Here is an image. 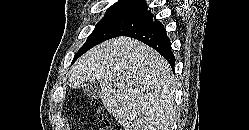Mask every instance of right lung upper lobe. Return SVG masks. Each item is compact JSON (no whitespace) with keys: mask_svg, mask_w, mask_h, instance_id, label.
Returning a JSON list of instances; mask_svg holds the SVG:
<instances>
[{"mask_svg":"<svg viewBox=\"0 0 249 130\" xmlns=\"http://www.w3.org/2000/svg\"><path fill=\"white\" fill-rule=\"evenodd\" d=\"M114 5L116 6H129V7H136L140 9L146 10L147 4L141 0H120Z\"/></svg>","mask_w":249,"mask_h":130,"instance_id":"obj_1","label":"right lung upper lobe"}]
</instances>
